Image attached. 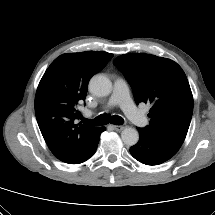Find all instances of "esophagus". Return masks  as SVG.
<instances>
[{
  "instance_id": "obj_1",
  "label": "esophagus",
  "mask_w": 215,
  "mask_h": 215,
  "mask_svg": "<svg viewBox=\"0 0 215 215\" xmlns=\"http://www.w3.org/2000/svg\"><path fill=\"white\" fill-rule=\"evenodd\" d=\"M127 126L125 124L123 125H113V128L116 130V131H122L123 129H125Z\"/></svg>"
}]
</instances>
